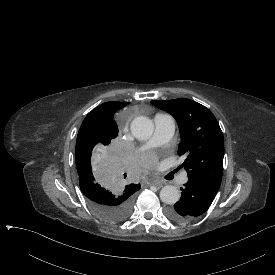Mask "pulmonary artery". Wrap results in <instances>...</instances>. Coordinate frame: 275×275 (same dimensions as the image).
<instances>
[{
    "label": "pulmonary artery",
    "instance_id": "obj_1",
    "mask_svg": "<svg viewBox=\"0 0 275 275\" xmlns=\"http://www.w3.org/2000/svg\"><path fill=\"white\" fill-rule=\"evenodd\" d=\"M155 133L153 137L149 140L148 144L143 145V148L149 146H157L165 142L172 135L175 128V121L171 115L168 114H158L154 117ZM139 152H143V149H139ZM188 181L187 172L183 173L181 177V183H186Z\"/></svg>",
    "mask_w": 275,
    "mask_h": 275
}]
</instances>
